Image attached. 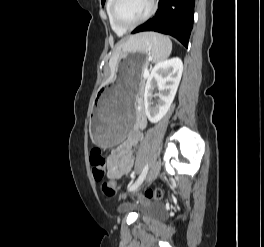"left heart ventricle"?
Segmentation results:
<instances>
[{
  "label": "left heart ventricle",
  "instance_id": "left-heart-ventricle-1",
  "mask_svg": "<svg viewBox=\"0 0 264 247\" xmlns=\"http://www.w3.org/2000/svg\"><path fill=\"white\" fill-rule=\"evenodd\" d=\"M149 9V0H120L118 18L122 23L132 24L140 20Z\"/></svg>",
  "mask_w": 264,
  "mask_h": 247
}]
</instances>
